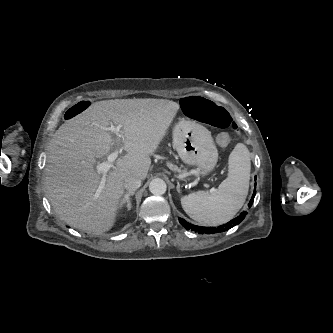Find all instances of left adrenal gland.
I'll return each instance as SVG.
<instances>
[{
  "label": "left adrenal gland",
  "instance_id": "1",
  "mask_svg": "<svg viewBox=\"0 0 333 333\" xmlns=\"http://www.w3.org/2000/svg\"><path fill=\"white\" fill-rule=\"evenodd\" d=\"M177 191L180 192V186L179 185H177Z\"/></svg>",
  "mask_w": 333,
  "mask_h": 333
}]
</instances>
